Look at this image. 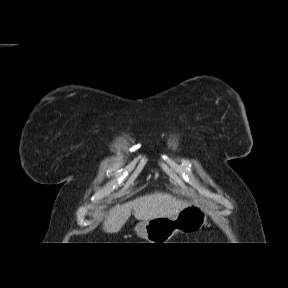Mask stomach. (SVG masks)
Instances as JSON below:
<instances>
[{
    "instance_id": "0dacf381",
    "label": "stomach",
    "mask_w": 288,
    "mask_h": 288,
    "mask_svg": "<svg viewBox=\"0 0 288 288\" xmlns=\"http://www.w3.org/2000/svg\"><path fill=\"white\" fill-rule=\"evenodd\" d=\"M207 221V210L199 203H192L174 216L156 217L142 221L135 227L139 237L149 243H168L175 234L190 233L201 229Z\"/></svg>"
}]
</instances>
